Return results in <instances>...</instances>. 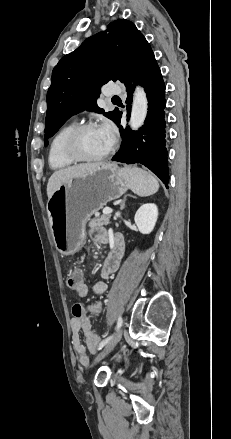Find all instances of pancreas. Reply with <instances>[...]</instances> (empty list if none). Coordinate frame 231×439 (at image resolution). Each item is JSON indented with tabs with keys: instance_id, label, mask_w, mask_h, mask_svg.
Listing matches in <instances>:
<instances>
[{
	"instance_id": "pancreas-1",
	"label": "pancreas",
	"mask_w": 231,
	"mask_h": 439,
	"mask_svg": "<svg viewBox=\"0 0 231 439\" xmlns=\"http://www.w3.org/2000/svg\"><path fill=\"white\" fill-rule=\"evenodd\" d=\"M108 224H110V215H103L99 218L89 219V226L91 228L98 226H106Z\"/></svg>"
}]
</instances>
